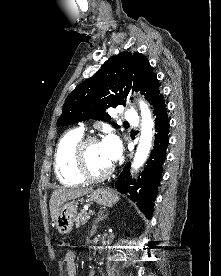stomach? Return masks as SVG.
<instances>
[{"instance_id": "1", "label": "stomach", "mask_w": 221, "mask_h": 276, "mask_svg": "<svg viewBox=\"0 0 221 276\" xmlns=\"http://www.w3.org/2000/svg\"><path fill=\"white\" fill-rule=\"evenodd\" d=\"M90 199L99 205L111 206L118 202L119 197L112 190L99 188L90 193ZM76 213L77 203L75 201H67L61 206L55 220V226L60 234L66 235L72 231Z\"/></svg>"}]
</instances>
